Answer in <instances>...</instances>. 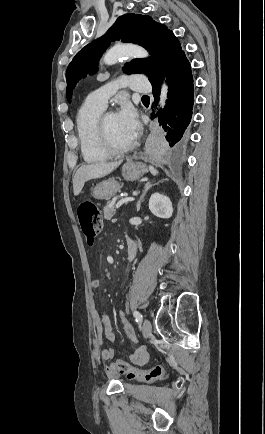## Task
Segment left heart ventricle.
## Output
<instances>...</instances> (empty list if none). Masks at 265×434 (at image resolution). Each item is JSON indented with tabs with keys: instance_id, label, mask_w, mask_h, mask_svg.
Returning <instances> with one entry per match:
<instances>
[{
	"instance_id": "b2bd125f",
	"label": "left heart ventricle",
	"mask_w": 265,
	"mask_h": 434,
	"mask_svg": "<svg viewBox=\"0 0 265 434\" xmlns=\"http://www.w3.org/2000/svg\"><path fill=\"white\" fill-rule=\"evenodd\" d=\"M108 127L110 138L114 146L118 148H126L134 143L122 129L117 114H112L108 118Z\"/></svg>"
}]
</instances>
